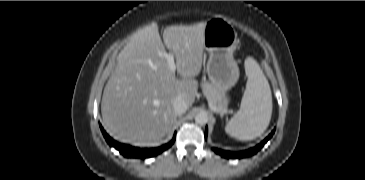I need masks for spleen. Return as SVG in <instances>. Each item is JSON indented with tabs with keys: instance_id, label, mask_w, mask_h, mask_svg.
<instances>
[{
	"instance_id": "1",
	"label": "spleen",
	"mask_w": 365,
	"mask_h": 180,
	"mask_svg": "<svg viewBox=\"0 0 365 180\" xmlns=\"http://www.w3.org/2000/svg\"><path fill=\"white\" fill-rule=\"evenodd\" d=\"M248 77L239 111L231 118L225 131L239 140H252L267 129L272 115L271 89L262 69L255 59L245 60Z\"/></svg>"
}]
</instances>
